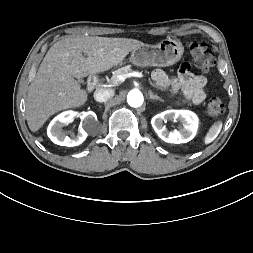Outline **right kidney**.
Instances as JSON below:
<instances>
[{
	"label": "right kidney",
	"mask_w": 253,
	"mask_h": 253,
	"mask_svg": "<svg viewBox=\"0 0 253 253\" xmlns=\"http://www.w3.org/2000/svg\"><path fill=\"white\" fill-rule=\"evenodd\" d=\"M81 115L84 119L83 127L80 128L78 135L71 133L68 136L62 131V127L65 124L70 123L74 117ZM97 121V116L93 111L78 113L76 111H65L56 116L48 126V136L51 141L61 146H78L82 144L87 138L88 134L86 130L90 129L91 125Z\"/></svg>",
	"instance_id": "1"
}]
</instances>
